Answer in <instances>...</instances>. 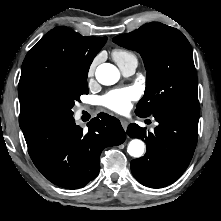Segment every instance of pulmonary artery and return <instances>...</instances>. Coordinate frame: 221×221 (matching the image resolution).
I'll use <instances>...</instances> for the list:
<instances>
[{
    "instance_id": "1",
    "label": "pulmonary artery",
    "mask_w": 221,
    "mask_h": 221,
    "mask_svg": "<svg viewBox=\"0 0 221 221\" xmlns=\"http://www.w3.org/2000/svg\"><path fill=\"white\" fill-rule=\"evenodd\" d=\"M124 75H132L137 67V60H130L126 63L118 65Z\"/></svg>"
}]
</instances>
